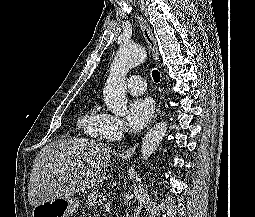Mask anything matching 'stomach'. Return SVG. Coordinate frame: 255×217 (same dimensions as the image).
<instances>
[{"mask_svg":"<svg viewBox=\"0 0 255 217\" xmlns=\"http://www.w3.org/2000/svg\"><path fill=\"white\" fill-rule=\"evenodd\" d=\"M79 209V202L72 198H56L35 206L32 217H70Z\"/></svg>","mask_w":255,"mask_h":217,"instance_id":"stomach-1","label":"stomach"}]
</instances>
